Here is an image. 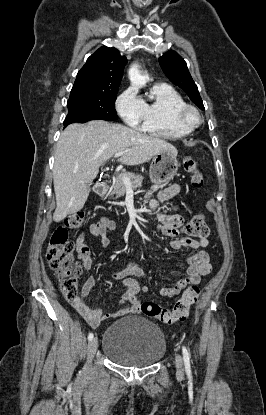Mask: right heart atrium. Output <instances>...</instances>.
I'll return each mask as SVG.
<instances>
[{
    "mask_svg": "<svg viewBox=\"0 0 266 415\" xmlns=\"http://www.w3.org/2000/svg\"><path fill=\"white\" fill-rule=\"evenodd\" d=\"M116 109L123 121L133 128H138L144 120V101L134 88L123 91L116 100Z\"/></svg>",
    "mask_w": 266,
    "mask_h": 415,
    "instance_id": "1",
    "label": "right heart atrium"
}]
</instances>
